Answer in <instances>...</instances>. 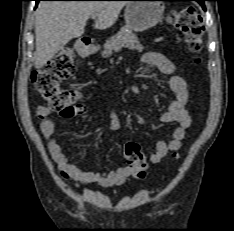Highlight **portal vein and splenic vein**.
I'll return each instance as SVG.
<instances>
[{"label": "portal vein and splenic vein", "mask_w": 234, "mask_h": 231, "mask_svg": "<svg viewBox=\"0 0 234 231\" xmlns=\"http://www.w3.org/2000/svg\"><path fill=\"white\" fill-rule=\"evenodd\" d=\"M97 17H98V14H96V13H94V14L91 15L92 19H96Z\"/></svg>", "instance_id": "portal-vein-and-splenic-vein-1"}]
</instances>
